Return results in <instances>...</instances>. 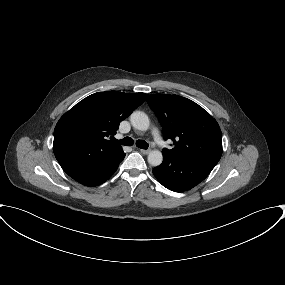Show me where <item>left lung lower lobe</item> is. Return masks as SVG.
I'll use <instances>...</instances> for the list:
<instances>
[{"instance_id":"left-lung-lower-lobe-1","label":"left lung lower lobe","mask_w":285,"mask_h":285,"mask_svg":"<svg viewBox=\"0 0 285 285\" xmlns=\"http://www.w3.org/2000/svg\"><path fill=\"white\" fill-rule=\"evenodd\" d=\"M211 170L204 165L163 154V162L154 168L153 174L167 189L182 192L203 181Z\"/></svg>"}]
</instances>
